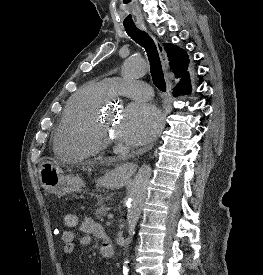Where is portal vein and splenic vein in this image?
Masks as SVG:
<instances>
[{"instance_id": "portal-vein-and-splenic-vein-1", "label": "portal vein and splenic vein", "mask_w": 263, "mask_h": 275, "mask_svg": "<svg viewBox=\"0 0 263 275\" xmlns=\"http://www.w3.org/2000/svg\"><path fill=\"white\" fill-rule=\"evenodd\" d=\"M107 217H108V219H112L113 218V214L109 213Z\"/></svg>"}]
</instances>
